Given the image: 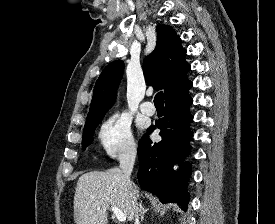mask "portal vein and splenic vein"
I'll return each instance as SVG.
<instances>
[{
  "mask_svg": "<svg viewBox=\"0 0 275 224\" xmlns=\"http://www.w3.org/2000/svg\"><path fill=\"white\" fill-rule=\"evenodd\" d=\"M111 210L119 222L126 221V216L120 209H118L117 207L111 206Z\"/></svg>",
  "mask_w": 275,
  "mask_h": 224,
  "instance_id": "portal-vein-and-splenic-vein-1",
  "label": "portal vein and splenic vein"
}]
</instances>
